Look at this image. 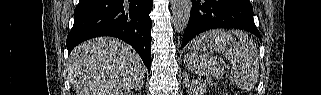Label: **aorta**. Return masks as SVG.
<instances>
[{
  "label": "aorta",
  "instance_id": "1",
  "mask_svg": "<svg viewBox=\"0 0 321 95\" xmlns=\"http://www.w3.org/2000/svg\"><path fill=\"white\" fill-rule=\"evenodd\" d=\"M192 0H172L173 26L176 32L183 33L189 22Z\"/></svg>",
  "mask_w": 321,
  "mask_h": 95
}]
</instances>
